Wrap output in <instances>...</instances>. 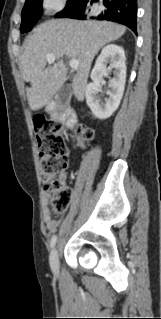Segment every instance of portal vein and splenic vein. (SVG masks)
Returning a JSON list of instances; mask_svg holds the SVG:
<instances>
[{
    "label": "portal vein and splenic vein",
    "mask_w": 161,
    "mask_h": 319,
    "mask_svg": "<svg viewBox=\"0 0 161 319\" xmlns=\"http://www.w3.org/2000/svg\"><path fill=\"white\" fill-rule=\"evenodd\" d=\"M46 60L48 63H54L55 60H56V56L54 53H49L46 55ZM78 60L76 59H71L70 62H69V65L72 69H77L78 68Z\"/></svg>",
    "instance_id": "1"
}]
</instances>
